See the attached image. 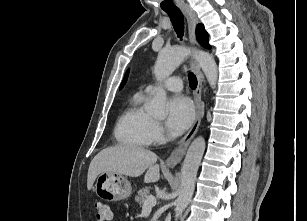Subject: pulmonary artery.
Returning <instances> with one entry per match:
<instances>
[{
  "label": "pulmonary artery",
  "mask_w": 307,
  "mask_h": 221,
  "mask_svg": "<svg viewBox=\"0 0 307 221\" xmlns=\"http://www.w3.org/2000/svg\"><path fill=\"white\" fill-rule=\"evenodd\" d=\"M162 87L168 91L179 92L183 88V82L179 77H171L163 83ZM155 89V85L150 84L146 87V92L153 93Z\"/></svg>",
  "instance_id": "pulmonary-artery-1"
}]
</instances>
